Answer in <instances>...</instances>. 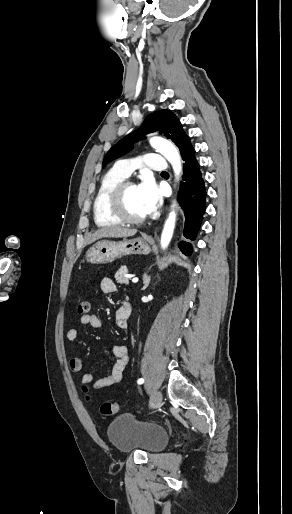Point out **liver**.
<instances>
[{
  "mask_svg": "<svg viewBox=\"0 0 292 514\" xmlns=\"http://www.w3.org/2000/svg\"><path fill=\"white\" fill-rule=\"evenodd\" d=\"M136 232L137 230H129L122 226H103L95 234H90V242H96L101 238H129V236H135Z\"/></svg>",
  "mask_w": 292,
  "mask_h": 514,
  "instance_id": "liver-1",
  "label": "liver"
}]
</instances>
